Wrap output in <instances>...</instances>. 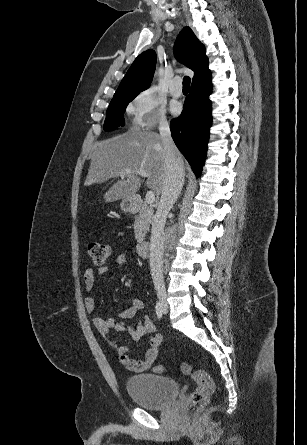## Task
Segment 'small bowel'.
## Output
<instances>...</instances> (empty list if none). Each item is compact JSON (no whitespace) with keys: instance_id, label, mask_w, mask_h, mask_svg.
I'll list each match as a JSON object with an SVG mask.
<instances>
[{"instance_id":"1","label":"small bowel","mask_w":307,"mask_h":445,"mask_svg":"<svg viewBox=\"0 0 307 445\" xmlns=\"http://www.w3.org/2000/svg\"><path fill=\"white\" fill-rule=\"evenodd\" d=\"M127 263V255L119 254L115 257L113 265L103 266L98 269H94L93 267L87 268L83 276L86 290H93L97 275L107 274L111 271L112 266H125ZM85 307L89 314L94 315L93 324L97 331L106 339L108 344L117 351L120 361L127 369L138 373L143 372L152 366L158 356L159 347L163 341V337L156 333L155 324L147 315L141 317V319L134 325L126 323L128 320L136 318L144 309V303L140 299H134L131 305L119 313L117 317L104 318L96 315V303L90 296L85 299ZM112 330L117 332H128L134 340H139L145 335H150L145 359L138 360L130 358L128 355L129 348L127 346H119L116 341L110 338L109 335Z\"/></svg>"}]
</instances>
